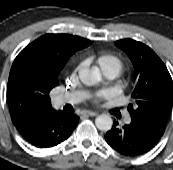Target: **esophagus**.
I'll return each instance as SVG.
<instances>
[{"mask_svg": "<svg viewBox=\"0 0 173 170\" xmlns=\"http://www.w3.org/2000/svg\"><path fill=\"white\" fill-rule=\"evenodd\" d=\"M84 114L87 115V116H91V117L97 115L96 112H94V111H90V110L84 111Z\"/></svg>", "mask_w": 173, "mask_h": 170, "instance_id": "esophagus-1", "label": "esophagus"}]
</instances>
